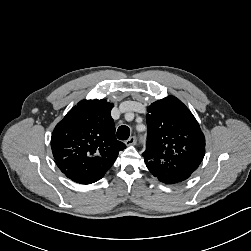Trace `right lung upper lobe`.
I'll use <instances>...</instances> for the list:
<instances>
[{
    "instance_id": "1",
    "label": "right lung upper lobe",
    "mask_w": 251,
    "mask_h": 251,
    "mask_svg": "<svg viewBox=\"0 0 251 251\" xmlns=\"http://www.w3.org/2000/svg\"><path fill=\"white\" fill-rule=\"evenodd\" d=\"M113 104L82 100L55 127L51 148L57 166L71 180L90 184L101 179L125 144L116 140Z\"/></svg>"
}]
</instances>
